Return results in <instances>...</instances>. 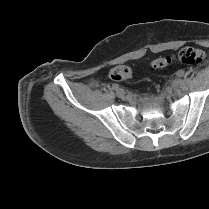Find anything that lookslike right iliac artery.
Here are the masks:
<instances>
[{
  "label": "right iliac artery",
  "mask_w": 209,
  "mask_h": 209,
  "mask_svg": "<svg viewBox=\"0 0 209 209\" xmlns=\"http://www.w3.org/2000/svg\"><path fill=\"white\" fill-rule=\"evenodd\" d=\"M112 88H113L114 90H118V89H119V85H118V84H113V85H112Z\"/></svg>",
  "instance_id": "1"
}]
</instances>
